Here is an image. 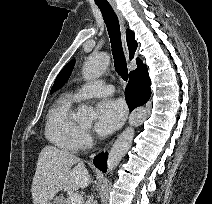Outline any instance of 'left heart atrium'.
<instances>
[{
	"label": "left heart atrium",
	"instance_id": "obj_1",
	"mask_svg": "<svg viewBox=\"0 0 212 204\" xmlns=\"http://www.w3.org/2000/svg\"><path fill=\"white\" fill-rule=\"evenodd\" d=\"M125 105L120 100L106 99L97 106L96 131L101 135L114 132L125 119Z\"/></svg>",
	"mask_w": 212,
	"mask_h": 204
}]
</instances>
